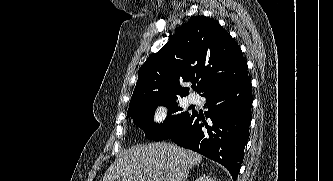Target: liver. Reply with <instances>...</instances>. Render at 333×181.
<instances>
[{
    "label": "liver",
    "instance_id": "liver-1",
    "mask_svg": "<svg viewBox=\"0 0 333 181\" xmlns=\"http://www.w3.org/2000/svg\"><path fill=\"white\" fill-rule=\"evenodd\" d=\"M202 155L170 143L135 146L117 158L102 181H186Z\"/></svg>",
    "mask_w": 333,
    "mask_h": 181
}]
</instances>
